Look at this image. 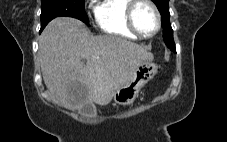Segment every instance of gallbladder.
<instances>
[{
	"mask_svg": "<svg viewBox=\"0 0 227 142\" xmlns=\"http://www.w3.org/2000/svg\"><path fill=\"white\" fill-rule=\"evenodd\" d=\"M95 112H96V108L91 103L85 105L82 108V114H84L85 116H89V117L94 116L95 115Z\"/></svg>",
	"mask_w": 227,
	"mask_h": 142,
	"instance_id": "gallbladder-1",
	"label": "gallbladder"
}]
</instances>
